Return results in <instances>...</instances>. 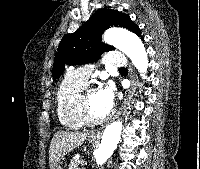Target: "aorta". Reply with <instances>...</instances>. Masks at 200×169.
<instances>
[{
  "instance_id": "obj_1",
  "label": "aorta",
  "mask_w": 200,
  "mask_h": 169,
  "mask_svg": "<svg viewBox=\"0 0 200 169\" xmlns=\"http://www.w3.org/2000/svg\"><path fill=\"white\" fill-rule=\"evenodd\" d=\"M104 42L124 52L138 69L141 76H145L148 68V56L142 41L133 33L110 29L103 36ZM122 122L115 121L108 125L102 135L101 143L95 152L97 165H103L115 151L122 131Z\"/></svg>"
}]
</instances>
